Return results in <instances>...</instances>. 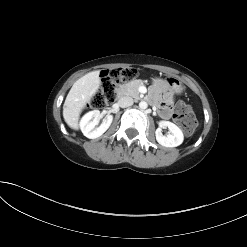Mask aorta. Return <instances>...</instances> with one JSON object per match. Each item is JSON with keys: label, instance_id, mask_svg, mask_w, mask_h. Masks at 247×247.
Masks as SVG:
<instances>
[{"label": "aorta", "instance_id": "1", "mask_svg": "<svg viewBox=\"0 0 247 247\" xmlns=\"http://www.w3.org/2000/svg\"><path fill=\"white\" fill-rule=\"evenodd\" d=\"M147 107H148L147 102L141 101V102L139 103V108H140V109H146Z\"/></svg>", "mask_w": 247, "mask_h": 247}]
</instances>
